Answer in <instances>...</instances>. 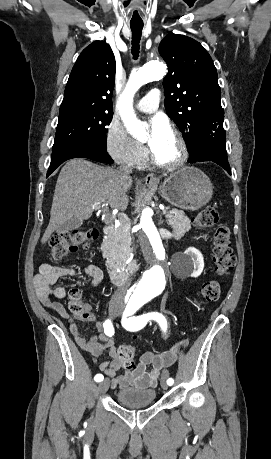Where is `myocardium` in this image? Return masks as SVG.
I'll return each mask as SVG.
<instances>
[{
	"mask_svg": "<svg viewBox=\"0 0 271 459\" xmlns=\"http://www.w3.org/2000/svg\"><path fill=\"white\" fill-rule=\"evenodd\" d=\"M169 132L171 133L176 144V153L173 157L168 159L160 158L151 150L150 147L148 148V150L151 159L157 165L165 168H176L186 162L189 155L188 146L184 137L175 126H170Z\"/></svg>",
	"mask_w": 271,
	"mask_h": 459,
	"instance_id": "1",
	"label": "myocardium"
}]
</instances>
